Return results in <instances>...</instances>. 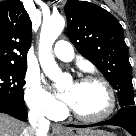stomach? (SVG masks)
Masks as SVG:
<instances>
[{"instance_id": "0dacf381", "label": "stomach", "mask_w": 136, "mask_h": 136, "mask_svg": "<svg viewBox=\"0 0 136 136\" xmlns=\"http://www.w3.org/2000/svg\"><path fill=\"white\" fill-rule=\"evenodd\" d=\"M78 135H74L73 133H63L58 136H114L113 134L103 131V130H89L86 132H77Z\"/></svg>"}]
</instances>
